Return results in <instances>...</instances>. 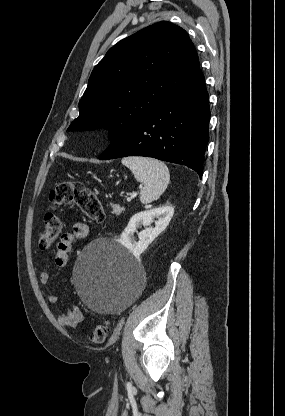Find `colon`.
Segmentation results:
<instances>
[{
  "instance_id": "1",
  "label": "colon",
  "mask_w": 285,
  "mask_h": 416,
  "mask_svg": "<svg viewBox=\"0 0 285 416\" xmlns=\"http://www.w3.org/2000/svg\"><path fill=\"white\" fill-rule=\"evenodd\" d=\"M51 210L45 215V225L39 237V247L49 248L61 234L63 223L58 214L60 207L71 205L78 207L91 221L101 223L105 219V210L100 198L90 188L77 181H62L49 194ZM110 331L107 321L98 323L90 336L92 343L105 341Z\"/></svg>"
}]
</instances>
